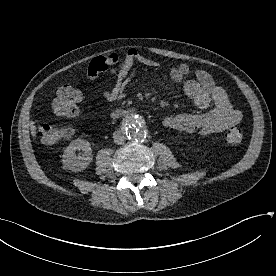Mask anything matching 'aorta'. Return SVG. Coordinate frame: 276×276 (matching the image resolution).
<instances>
[{
    "label": "aorta",
    "instance_id": "obj_1",
    "mask_svg": "<svg viewBox=\"0 0 276 276\" xmlns=\"http://www.w3.org/2000/svg\"><path fill=\"white\" fill-rule=\"evenodd\" d=\"M124 130L127 137L133 141H143L147 136V132L141 122L140 117L132 116L130 119H128L125 122Z\"/></svg>",
    "mask_w": 276,
    "mask_h": 276
}]
</instances>
